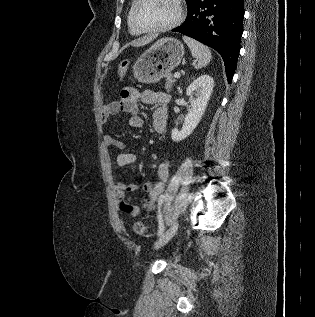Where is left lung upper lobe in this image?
Here are the masks:
<instances>
[{
	"label": "left lung upper lobe",
	"instance_id": "1",
	"mask_svg": "<svg viewBox=\"0 0 315 317\" xmlns=\"http://www.w3.org/2000/svg\"><path fill=\"white\" fill-rule=\"evenodd\" d=\"M187 6L192 2V0H186Z\"/></svg>",
	"mask_w": 315,
	"mask_h": 317
}]
</instances>
